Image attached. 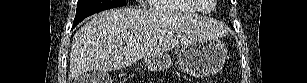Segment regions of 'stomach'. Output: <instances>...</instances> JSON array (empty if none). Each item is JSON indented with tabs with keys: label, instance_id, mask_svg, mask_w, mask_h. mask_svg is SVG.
Returning <instances> with one entry per match:
<instances>
[{
	"label": "stomach",
	"instance_id": "stomach-1",
	"mask_svg": "<svg viewBox=\"0 0 307 83\" xmlns=\"http://www.w3.org/2000/svg\"><path fill=\"white\" fill-rule=\"evenodd\" d=\"M227 58L226 45L216 39H199L185 44L178 55V65L193 77L210 76L220 71ZM171 65L166 54L145 58V67L151 71H162Z\"/></svg>",
	"mask_w": 307,
	"mask_h": 83
}]
</instances>
